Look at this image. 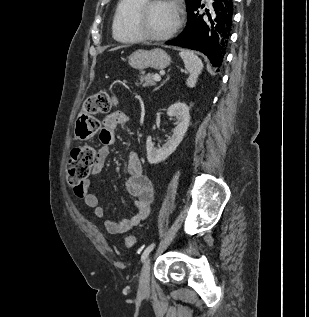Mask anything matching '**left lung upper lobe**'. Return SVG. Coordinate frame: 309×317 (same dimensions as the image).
<instances>
[{
  "label": "left lung upper lobe",
  "mask_w": 309,
  "mask_h": 317,
  "mask_svg": "<svg viewBox=\"0 0 309 317\" xmlns=\"http://www.w3.org/2000/svg\"><path fill=\"white\" fill-rule=\"evenodd\" d=\"M199 2H201V0H186L187 10L195 7Z\"/></svg>",
  "instance_id": "1"
}]
</instances>
